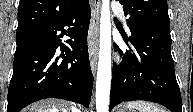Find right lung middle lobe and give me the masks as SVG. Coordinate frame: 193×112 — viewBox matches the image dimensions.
I'll return each mask as SVG.
<instances>
[{"label":"right lung middle lobe","mask_w":193,"mask_h":112,"mask_svg":"<svg viewBox=\"0 0 193 112\" xmlns=\"http://www.w3.org/2000/svg\"><path fill=\"white\" fill-rule=\"evenodd\" d=\"M31 31H26V32H16V38H19V37H21V36H24V35H26V34H28V33H30Z\"/></svg>","instance_id":"dd1d6c3e"}]
</instances>
